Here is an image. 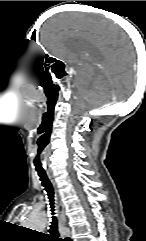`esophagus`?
I'll list each match as a JSON object with an SVG mask.
<instances>
[{
  "label": "esophagus",
  "mask_w": 146,
  "mask_h": 241,
  "mask_svg": "<svg viewBox=\"0 0 146 241\" xmlns=\"http://www.w3.org/2000/svg\"><path fill=\"white\" fill-rule=\"evenodd\" d=\"M48 177L55 189V193H56V199H57V214H58V223L61 226H64L65 225V221H66V218H65V211H64V205L62 203V200H61V197H60V194H59V191H58V188H57V184H56V181L54 179V176L48 172Z\"/></svg>",
  "instance_id": "1"
}]
</instances>
